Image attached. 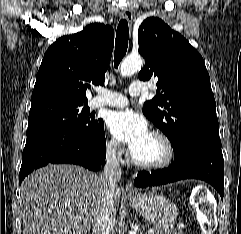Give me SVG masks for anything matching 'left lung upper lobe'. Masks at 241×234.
Instances as JSON below:
<instances>
[{
	"label": "left lung upper lobe",
	"instance_id": "5c2ea615",
	"mask_svg": "<svg viewBox=\"0 0 241 234\" xmlns=\"http://www.w3.org/2000/svg\"><path fill=\"white\" fill-rule=\"evenodd\" d=\"M138 43L145 58L139 79L158 80L157 96L143 113L166 134L174 152L194 138L220 140L210 77L197 50L157 17L140 25Z\"/></svg>",
	"mask_w": 241,
	"mask_h": 234
}]
</instances>
